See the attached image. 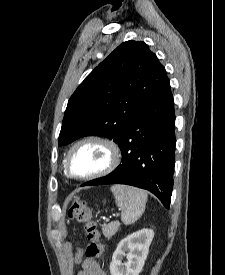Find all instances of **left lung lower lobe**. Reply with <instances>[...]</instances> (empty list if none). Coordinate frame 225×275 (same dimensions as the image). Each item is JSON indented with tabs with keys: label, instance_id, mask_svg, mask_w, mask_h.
I'll use <instances>...</instances> for the list:
<instances>
[{
	"label": "left lung lower lobe",
	"instance_id": "left-lung-lower-lobe-1",
	"mask_svg": "<svg viewBox=\"0 0 225 275\" xmlns=\"http://www.w3.org/2000/svg\"><path fill=\"white\" fill-rule=\"evenodd\" d=\"M169 79L126 130L121 164L109 175L82 186L127 184L146 189L169 208L175 165V114Z\"/></svg>",
	"mask_w": 225,
	"mask_h": 275
}]
</instances>
